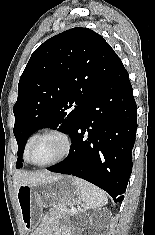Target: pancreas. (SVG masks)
<instances>
[{
	"instance_id": "obj_1",
	"label": "pancreas",
	"mask_w": 155,
	"mask_h": 235,
	"mask_svg": "<svg viewBox=\"0 0 155 235\" xmlns=\"http://www.w3.org/2000/svg\"><path fill=\"white\" fill-rule=\"evenodd\" d=\"M58 208H60L61 210H63V211H64L65 213H67V214H71L70 209L67 208V207H58Z\"/></svg>"
}]
</instances>
